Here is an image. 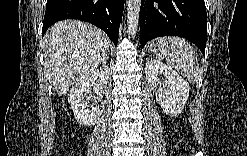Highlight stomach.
<instances>
[{
	"label": "stomach",
	"mask_w": 247,
	"mask_h": 156,
	"mask_svg": "<svg viewBox=\"0 0 247 156\" xmlns=\"http://www.w3.org/2000/svg\"><path fill=\"white\" fill-rule=\"evenodd\" d=\"M149 50L151 52L157 53V52H159V47L157 46V44L151 43Z\"/></svg>",
	"instance_id": "0dacf381"
}]
</instances>
